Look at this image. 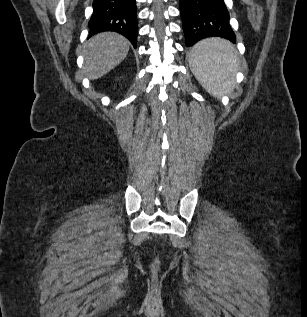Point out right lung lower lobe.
Returning <instances> with one entry per match:
<instances>
[{
  "instance_id": "98d812e1",
  "label": "right lung lower lobe",
  "mask_w": 307,
  "mask_h": 317,
  "mask_svg": "<svg viewBox=\"0 0 307 317\" xmlns=\"http://www.w3.org/2000/svg\"><path fill=\"white\" fill-rule=\"evenodd\" d=\"M88 26L89 37L103 31H114L125 36L136 48L138 26L135 0H94Z\"/></svg>"
}]
</instances>
